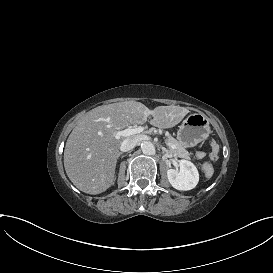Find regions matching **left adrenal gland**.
I'll return each mask as SVG.
<instances>
[{"mask_svg":"<svg viewBox=\"0 0 273 273\" xmlns=\"http://www.w3.org/2000/svg\"><path fill=\"white\" fill-rule=\"evenodd\" d=\"M162 151H163V153H169V151L167 149H165L164 147H162Z\"/></svg>","mask_w":273,"mask_h":273,"instance_id":"1","label":"left adrenal gland"}]
</instances>
